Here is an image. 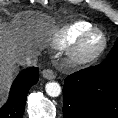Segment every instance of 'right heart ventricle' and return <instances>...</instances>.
<instances>
[{"mask_svg":"<svg viewBox=\"0 0 118 118\" xmlns=\"http://www.w3.org/2000/svg\"><path fill=\"white\" fill-rule=\"evenodd\" d=\"M94 28L88 21H76L61 28L52 38V45L59 50L73 45L77 39L86 31Z\"/></svg>","mask_w":118,"mask_h":118,"instance_id":"obj_1","label":"right heart ventricle"}]
</instances>
